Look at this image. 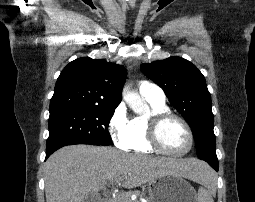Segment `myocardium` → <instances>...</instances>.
Returning <instances> with one entry per match:
<instances>
[{
    "label": "myocardium",
    "instance_id": "obj_1",
    "mask_svg": "<svg viewBox=\"0 0 255 202\" xmlns=\"http://www.w3.org/2000/svg\"><path fill=\"white\" fill-rule=\"evenodd\" d=\"M172 119L179 121L184 126V128L187 131L188 137H189L188 147L184 151H181V152H172V151L165 149L160 141L159 134H160V129H161L162 125L165 122L172 120ZM147 140H148V143L150 144V146L156 152H159L161 154L168 155V156H175V157H180V156L186 155L187 153H189L191 151V149L193 148V145H194L193 131H192L190 125L188 124V122L181 116L174 114L172 112H168V111L155 113L149 117L148 125H147Z\"/></svg>",
    "mask_w": 255,
    "mask_h": 202
}]
</instances>
